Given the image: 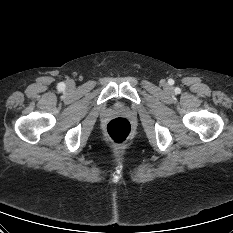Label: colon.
I'll list each match as a JSON object with an SVG mask.
<instances>
[{"label":"colon","mask_w":233,"mask_h":233,"mask_svg":"<svg viewBox=\"0 0 233 233\" xmlns=\"http://www.w3.org/2000/svg\"><path fill=\"white\" fill-rule=\"evenodd\" d=\"M105 132L113 143L124 144L132 135V127L128 119L117 117L108 122Z\"/></svg>","instance_id":"5ec220e1"}]
</instances>
